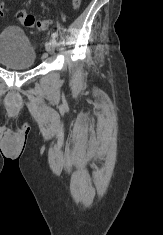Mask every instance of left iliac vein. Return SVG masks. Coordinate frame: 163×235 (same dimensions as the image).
<instances>
[{
    "label": "left iliac vein",
    "instance_id": "1",
    "mask_svg": "<svg viewBox=\"0 0 163 235\" xmlns=\"http://www.w3.org/2000/svg\"><path fill=\"white\" fill-rule=\"evenodd\" d=\"M45 47H46V51H47L49 54H53V53H54L55 44L53 43L52 40L46 42ZM44 57H47V55L45 54Z\"/></svg>",
    "mask_w": 163,
    "mask_h": 235
}]
</instances>
